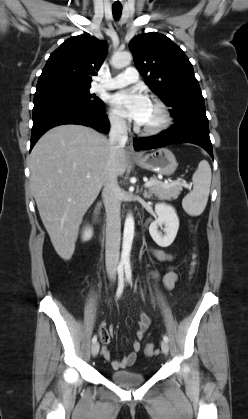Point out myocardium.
I'll list each match as a JSON object with an SVG mask.
<instances>
[{
  "label": "myocardium",
  "mask_w": 248,
  "mask_h": 419,
  "mask_svg": "<svg viewBox=\"0 0 248 419\" xmlns=\"http://www.w3.org/2000/svg\"><path fill=\"white\" fill-rule=\"evenodd\" d=\"M151 104L159 111L160 120L152 126H138V131L145 135L159 134L166 130L172 122L171 112L164 102L158 99H153Z\"/></svg>",
  "instance_id": "1"
}]
</instances>
